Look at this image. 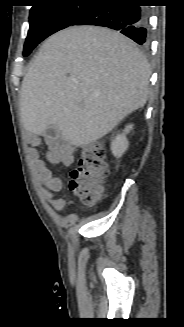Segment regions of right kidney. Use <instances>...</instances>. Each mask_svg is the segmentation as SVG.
I'll use <instances>...</instances> for the list:
<instances>
[{
    "label": "right kidney",
    "mask_w": 184,
    "mask_h": 327,
    "mask_svg": "<svg viewBox=\"0 0 184 327\" xmlns=\"http://www.w3.org/2000/svg\"><path fill=\"white\" fill-rule=\"evenodd\" d=\"M133 129V125H128L122 134L117 135L111 143V151L117 158L121 157L128 148V140L126 134Z\"/></svg>",
    "instance_id": "1"
}]
</instances>
